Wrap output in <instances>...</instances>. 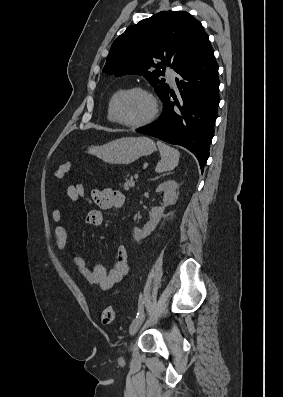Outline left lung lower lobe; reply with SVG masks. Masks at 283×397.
Instances as JSON below:
<instances>
[{"label":"left lung lower lobe","mask_w":283,"mask_h":397,"mask_svg":"<svg viewBox=\"0 0 283 397\" xmlns=\"http://www.w3.org/2000/svg\"><path fill=\"white\" fill-rule=\"evenodd\" d=\"M218 68L210 45L180 68L176 78L179 92L175 95L168 89L163 94L160 118L136 130L187 148L197 157L202 171L209 157L220 102Z\"/></svg>","instance_id":"left-lung-lower-lobe-1"}]
</instances>
